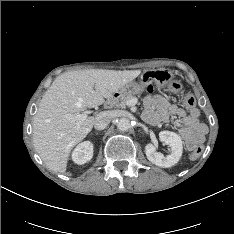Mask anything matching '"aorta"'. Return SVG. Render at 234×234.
<instances>
[{"label":"aorta","mask_w":234,"mask_h":234,"mask_svg":"<svg viewBox=\"0 0 234 234\" xmlns=\"http://www.w3.org/2000/svg\"><path fill=\"white\" fill-rule=\"evenodd\" d=\"M131 127L130 120L128 118H120L117 122V128L120 131H127Z\"/></svg>","instance_id":"obj_1"}]
</instances>
